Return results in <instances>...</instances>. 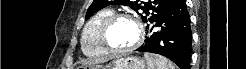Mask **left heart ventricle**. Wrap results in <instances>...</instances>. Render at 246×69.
I'll return each mask as SVG.
<instances>
[{
    "instance_id": "left-heart-ventricle-1",
    "label": "left heart ventricle",
    "mask_w": 246,
    "mask_h": 69,
    "mask_svg": "<svg viewBox=\"0 0 246 69\" xmlns=\"http://www.w3.org/2000/svg\"><path fill=\"white\" fill-rule=\"evenodd\" d=\"M137 36L135 24L127 19H120L112 25L107 38L112 47L124 49L131 46L136 41Z\"/></svg>"
}]
</instances>
